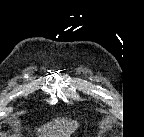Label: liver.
I'll use <instances>...</instances> for the list:
<instances>
[{"label": "liver", "instance_id": "obj_1", "mask_svg": "<svg viewBox=\"0 0 144 137\" xmlns=\"http://www.w3.org/2000/svg\"><path fill=\"white\" fill-rule=\"evenodd\" d=\"M77 121L58 117L38 130V137H70L77 129Z\"/></svg>", "mask_w": 144, "mask_h": 137}]
</instances>
